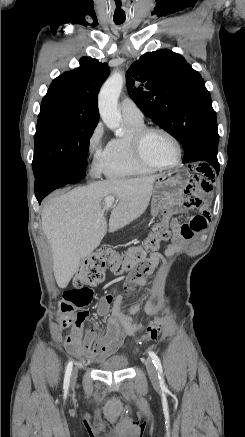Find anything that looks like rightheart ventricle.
Masks as SVG:
<instances>
[{"label": "right heart ventricle", "mask_w": 245, "mask_h": 437, "mask_svg": "<svg viewBox=\"0 0 245 437\" xmlns=\"http://www.w3.org/2000/svg\"><path fill=\"white\" fill-rule=\"evenodd\" d=\"M126 134L113 138L106 146L102 171L108 178H130L151 174L155 169L141 164L133 155L130 139L142 127L143 121L124 119Z\"/></svg>", "instance_id": "obj_1"}]
</instances>
